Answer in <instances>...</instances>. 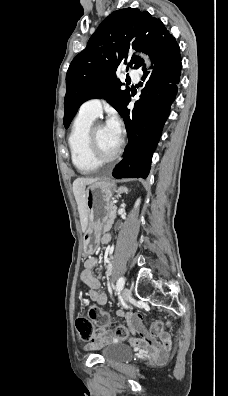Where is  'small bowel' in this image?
Here are the masks:
<instances>
[{
	"label": "small bowel",
	"mask_w": 228,
	"mask_h": 396,
	"mask_svg": "<svg viewBox=\"0 0 228 396\" xmlns=\"http://www.w3.org/2000/svg\"><path fill=\"white\" fill-rule=\"evenodd\" d=\"M110 240L111 238L109 235H104L102 238V243L104 245H108ZM98 263L99 259L96 256H91L86 259L84 262V269L81 273V280L89 287L87 297L99 305H105L109 300V296L100 292L101 282L94 273ZM119 315L126 318L128 329L132 334L138 333L141 336V339H135L134 342L148 346L155 362L164 364L168 361L171 350V339L167 333L162 332L159 335L160 341H157L156 338L151 336L142 326L141 314L132 312H119ZM117 340L118 337L112 330L101 327L95 331L94 337L91 339V342L87 347L95 348L107 342Z\"/></svg>",
	"instance_id": "small-bowel-1"
}]
</instances>
